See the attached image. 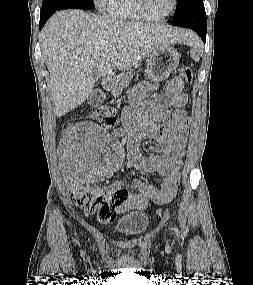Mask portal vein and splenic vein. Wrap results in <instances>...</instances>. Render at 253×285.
Returning <instances> with one entry per match:
<instances>
[{
    "label": "portal vein and splenic vein",
    "instance_id": "portal-vein-and-splenic-vein-1",
    "mask_svg": "<svg viewBox=\"0 0 253 285\" xmlns=\"http://www.w3.org/2000/svg\"><path fill=\"white\" fill-rule=\"evenodd\" d=\"M117 47H118V48H122V46H121V45H117Z\"/></svg>",
    "mask_w": 253,
    "mask_h": 285
}]
</instances>
